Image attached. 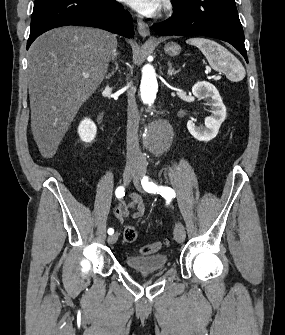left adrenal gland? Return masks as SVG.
Returning <instances> with one entry per match:
<instances>
[{"instance_id": "left-adrenal-gland-1", "label": "left adrenal gland", "mask_w": 285, "mask_h": 335, "mask_svg": "<svg viewBox=\"0 0 285 335\" xmlns=\"http://www.w3.org/2000/svg\"><path fill=\"white\" fill-rule=\"evenodd\" d=\"M167 66H168V76H175V74H179V72H181V70H177V72H175L174 68H172L171 62H168Z\"/></svg>"}]
</instances>
